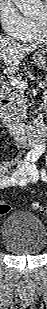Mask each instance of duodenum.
<instances>
[{"mask_svg":"<svg viewBox=\"0 0 47 309\" xmlns=\"http://www.w3.org/2000/svg\"><path fill=\"white\" fill-rule=\"evenodd\" d=\"M14 105L6 100L3 103L1 118L10 134L25 147H35L42 143L45 136V125L42 114L35 117L32 126L19 122L13 113Z\"/></svg>","mask_w":47,"mask_h":309,"instance_id":"duodenum-1","label":"duodenum"}]
</instances>
